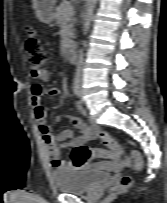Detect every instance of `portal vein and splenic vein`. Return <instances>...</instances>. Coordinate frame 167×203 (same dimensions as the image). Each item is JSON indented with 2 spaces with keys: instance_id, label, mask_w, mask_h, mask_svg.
<instances>
[{
  "instance_id": "1",
  "label": "portal vein and splenic vein",
  "mask_w": 167,
  "mask_h": 203,
  "mask_svg": "<svg viewBox=\"0 0 167 203\" xmlns=\"http://www.w3.org/2000/svg\"><path fill=\"white\" fill-rule=\"evenodd\" d=\"M73 11H74V8L72 6H69L66 8V13L69 16L73 15Z\"/></svg>"
}]
</instances>
